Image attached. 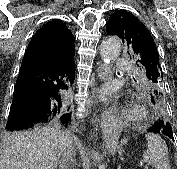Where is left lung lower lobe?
I'll return each instance as SVG.
<instances>
[{
    "mask_svg": "<svg viewBox=\"0 0 177 169\" xmlns=\"http://www.w3.org/2000/svg\"><path fill=\"white\" fill-rule=\"evenodd\" d=\"M151 98L153 103L160 107L162 104L161 98L158 96H152ZM148 132L161 133L174 140L171 125L170 123L167 124L165 119L156 122L151 128L148 129Z\"/></svg>",
    "mask_w": 177,
    "mask_h": 169,
    "instance_id": "1",
    "label": "left lung lower lobe"
}]
</instances>
